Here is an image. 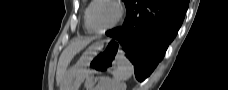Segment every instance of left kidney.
<instances>
[{
    "instance_id": "5707ae66",
    "label": "left kidney",
    "mask_w": 228,
    "mask_h": 90,
    "mask_svg": "<svg viewBox=\"0 0 228 90\" xmlns=\"http://www.w3.org/2000/svg\"><path fill=\"white\" fill-rule=\"evenodd\" d=\"M95 90H126V84L123 82H116L110 78H102Z\"/></svg>"
}]
</instances>
